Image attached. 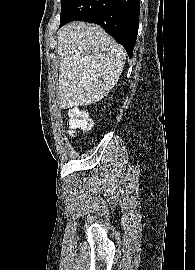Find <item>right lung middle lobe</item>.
<instances>
[{
	"label": "right lung middle lobe",
	"mask_w": 195,
	"mask_h": 270,
	"mask_svg": "<svg viewBox=\"0 0 195 270\" xmlns=\"http://www.w3.org/2000/svg\"><path fill=\"white\" fill-rule=\"evenodd\" d=\"M73 2V0H62L61 13L65 11Z\"/></svg>",
	"instance_id": "right-lung-middle-lobe-1"
}]
</instances>
